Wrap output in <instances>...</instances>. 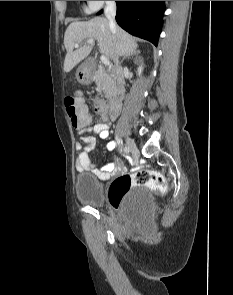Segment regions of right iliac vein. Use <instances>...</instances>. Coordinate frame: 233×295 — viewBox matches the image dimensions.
Masks as SVG:
<instances>
[{"label":"right iliac vein","mask_w":233,"mask_h":295,"mask_svg":"<svg viewBox=\"0 0 233 295\" xmlns=\"http://www.w3.org/2000/svg\"><path fill=\"white\" fill-rule=\"evenodd\" d=\"M126 147H128V153H130L132 156H135L137 154V148L132 139H126Z\"/></svg>","instance_id":"right-iliac-vein-1"}]
</instances>
